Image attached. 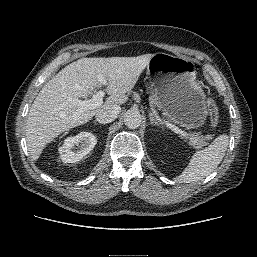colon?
I'll return each mask as SVG.
<instances>
[{
  "label": "colon",
  "instance_id": "obj_1",
  "mask_svg": "<svg viewBox=\"0 0 257 257\" xmlns=\"http://www.w3.org/2000/svg\"><path fill=\"white\" fill-rule=\"evenodd\" d=\"M206 107L209 113V119L212 126H216L219 121V113L216 103L212 99L206 100Z\"/></svg>",
  "mask_w": 257,
  "mask_h": 257
}]
</instances>
